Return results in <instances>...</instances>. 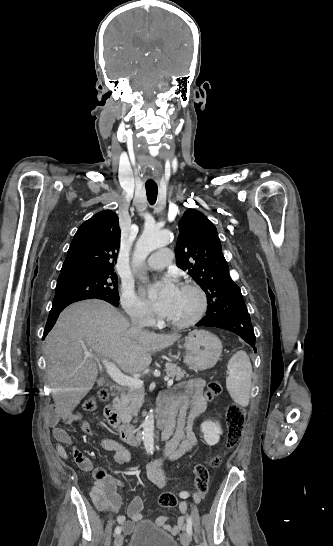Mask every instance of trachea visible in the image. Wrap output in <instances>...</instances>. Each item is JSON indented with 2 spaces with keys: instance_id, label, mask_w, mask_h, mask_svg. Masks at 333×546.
<instances>
[{
  "instance_id": "obj_1",
  "label": "trachea",
  "mask_w": 333,
  "mask_h": 546,
  "mask_svg": "<svg viewBox=\"0 0 333 546\" xmlns=\"http://www.w3.org/2000/svg\"><path fill=\"white\" fill-rule=\"evenodd\" d=\"M147 199L150 204H154L157 200L158 187L157 184H146Z\"/></svg>"
}]
</instances>
